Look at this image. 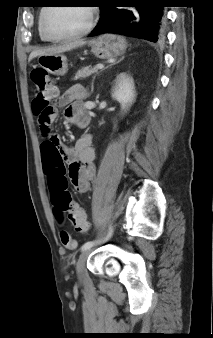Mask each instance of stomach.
<instances>
[{"instance_id": "0dacf381", "label": "stomach", "mask_w": 213, "mask_h": 338, "mask_svg": "<svg viewBox=\"0 0 213 338\" xmlns=\"http://www.w3.org/2000/svg\"><path fill=\"white\" fill-rule=\"evenodd\" d=\"M91 52L100 59H114L124 54L127 42L124 37L105 34L89 43ZM38 65L46 72L63 76L67 70V58L63 54L42 55L38 57Z\"/></svg>"}]
</instances>
